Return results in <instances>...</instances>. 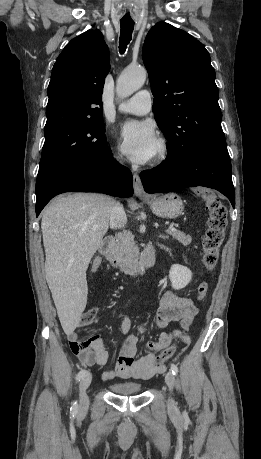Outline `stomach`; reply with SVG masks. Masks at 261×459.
Instances as JSON below:
<instances>
[{"instance_id": "obj_1", "label": "stomach", "mask_w": 261, "mask_h": 459, "mask_svg": "<svg viewBox=\"0 0 261 459\" xmlns=\"http://www.w3.org/2000/svg\"><path fill=\"white\" fill-rule=\"evenodd\" d=\"M144 200L150 206L152 212L162 218H177L184 209L181 198L175 193L153 196Z\"/></svg>"}]
</instances>
